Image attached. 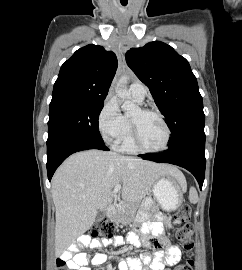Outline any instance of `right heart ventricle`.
<instances>
[{"instance_id":"1","label":"right heart ventricle","mask_w":242,"mask_h":270,"mask_svg":"<svg viewBox=\"0 0 242 270\" xmlns=\"http://www.w3.org/2000/svg\"><path fill=\"white\" fill-rule=\"evenodd\" d=\"M125 127L124 131L116 144L117 150L125 153H134L137 152L135 149L133 142H132V135H131V123H130V116L123 115Z\"/></svg>"}]
</instances>
